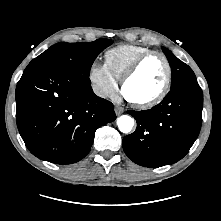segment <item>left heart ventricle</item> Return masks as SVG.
Masks as SVG:
<instances>
[{"label": "left heart ventricle", "mask_w": 221, "mask_h": 221, "mask_svg": "<svg viewBox=\"0 0 221 221\" xmlns=\"http://www.w3.org/2000/svg\"><path fill=\"white\" fill-rule=\"evenodd\" d=\"M166 77V67L158 56L148 58L136 75L125 87L129 98L144 101L155 96L162 88Z\"/></svg>", "instance_id": "obj_1"}]
</instances>
